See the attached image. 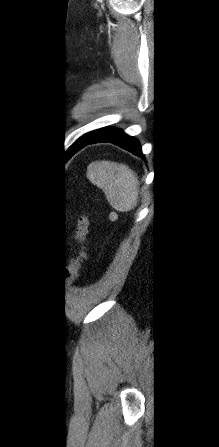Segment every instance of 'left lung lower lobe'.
<instances>
[{
    "label": "left lung lower lobe",
    "instance_id": "1",
    "mask_svg": "<svg viewBox=\"0 0 219 447\" xmlns=\"http://www.w3.org/2000/svg\"><path fill=\"white\" fill-rule=\"evenodd\" d=\"M99 142H110L114 143L133 154L144 158L142 154L140 144L134 137H130L123 133L122 130L112 127H105L96 130L93 134H91L86 139L81 142L74 144L70 147L67 156L68 158L75 154L77 151L82 149L88 144L99 143Z\"/></svg>",
    "mask_w": 219,
    "mask_h": 447
}]
</instances>
